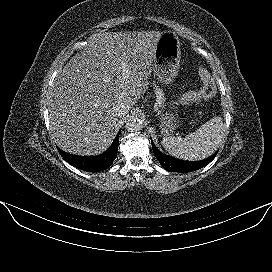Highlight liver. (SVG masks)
Instances as JSON below:
<instances>
[{
	"label": "liver",
	"instance_id": "6515ba94",
	"mask_svg": "<svg viewBox=\"0 0 272 272\" xmlns=\"http://www.w3.org/2000/svg\"><path fill=\"white\" fill-rule=\"evenodd\" d=\"M161 35L99 32L70 59L49 102L50 129L62 150L97 155L110 146L119 125L113 107L122 102L130 108L147 91Z\"/></svg>",
	"mask_w": 272,
	"mask_h": 272
}]
</instances>
